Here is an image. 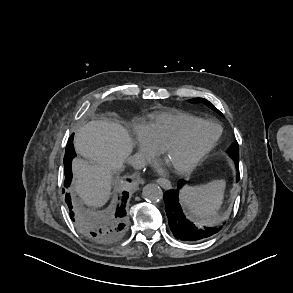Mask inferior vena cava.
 I'll use <instances>...</instances> for the list:
<instances>
[{"label": "inferior vena cava", "mask_w": 293, "mask_h": 293, "mask_svg": "<svg viewBox=\"0 0 293 293\" xmlns=\"http://www.w3.org/2000/svg\"><path fill=\"white\" fill-rule=\"evenodd\" d=\"M128 162L135 169H142L146 165L145 158L140 154H134L128 159Z\"/></svg>", "instance_id": "inferior-vena-cava-1"}]
</instances>
